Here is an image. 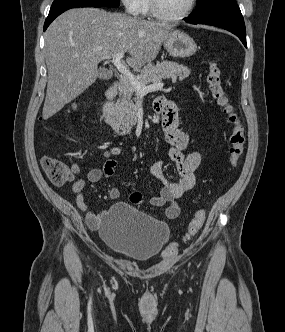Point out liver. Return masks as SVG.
<instances>
[{
	"label": "liver",
	"instance_id": "obj_1",
	"mask_svg": "<svg viewBox=\"0 0 285 332\" xmlns=\"http://www.w3.org/2000/svg\"><path fill=\"white\" fill-rule=\"evenodd\" d=\"M170 29L166 23L98 8H75L61 14L45 33L48 82L43 119L91 86L101 61L119 52H129L126 62L134 69L153 61Z\"/></svg>",
	"mask_w": 285,
	"mask_h": 332
}]
</instances>
